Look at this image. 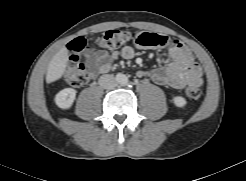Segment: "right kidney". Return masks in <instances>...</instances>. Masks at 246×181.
I'll use <instances>...</instances> for the list:
<instances>
[{
  "label": "right kidney",
  "mask_w": 246,
  "mask_h": 181,
  "mask_svg": "<svg viewBox=\"0 0 246 181\" xmlns=\"http://www.w3.org/2000/svg\"><path fill=\"white\" fill-rule=\"evenodd\" d=\"M76 90L72 88H65L55 96V103L61 109H69L75 100Z\"/></svg>",
  "instance_id": "1"
}]
</instances>
